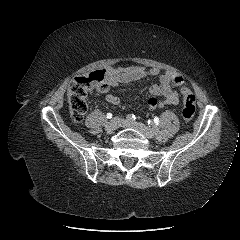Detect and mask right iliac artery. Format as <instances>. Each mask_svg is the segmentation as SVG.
Returning <instances> with one entry per match:
<instances>
[{"label":"right iliac artery","instance_id":"1","mask_svg":"<svg viewBox=\"0 0 240 240\" xmlns=\"http://www.w3.org/2000/svg\"><path fill=\"white\" fill-rule=\"evenodd\" d=\"M135 119H136V117L133 114H129V115L126 116V121L127 122H133V121H135Z\"/></svg>","mask_w":240,"mask_h":240}]
</instances>
